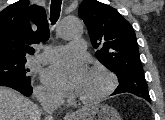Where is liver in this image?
I'll return each mask as SVG.
<instances>
[{"label": "liver", "instance_id": "obj_1", "mask_svg": "<svg viewBox=\"0 0 165 120\" xmlns=\"http://www.w3.org/2000/svg\"><path fill=\"white\" fill-rule=\"evenodd\" d=\"M41 110L17 91L0 86V120H40Z\"/></svg>", "mask_w": 165, "mask_h": 120}]
</instances>
